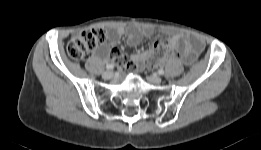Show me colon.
I'll use <instances>...</instances> for the list:
<instances>
[{"instance_id": "1", "label": "colon", "mask_w": 261, "mask_h": 150, "mask_svg": "<svg viewBox=\"0 0 261 150\" xmlns=\"http://www.w3.org/2000/svg\"><path fill=\"white\" fill-rule=\"evenodd\" d=\"M108 38L103 29H87L77 34L69 41L67 53L70 58L83 60L88 58L91 53ZM178 56L167 41L158 40L147 54L146 62L149 65H157Z\"/></svg>"}]
</instances>
